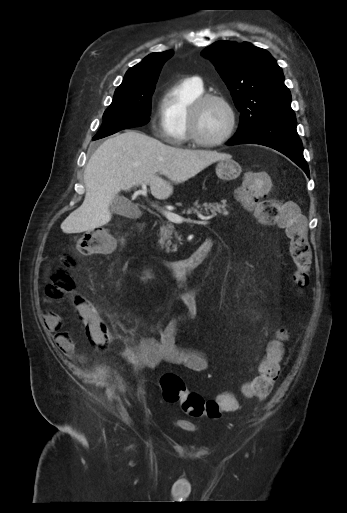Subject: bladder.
<instances>
[{
	"mask_svg": "<svg viewBox=\"0 0 347 513\" xmlns=\"http://www.w3.org/2000/svg\"><path fill=\"white\" fill-rule=\"evenodd\" d=\"M178 426L181 427L182 429H185V430H191L190 426L187 423L183 422V421H179L178 422Z\"/></svg>",
	"mask_w": 347,
	"mask_h": 513,
	"instance_id": "bladder-1",
	"label": "bladder"
}]
</instances>
